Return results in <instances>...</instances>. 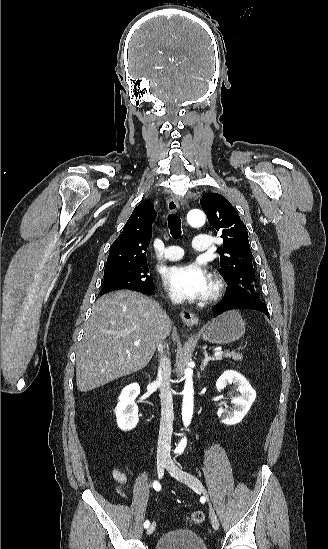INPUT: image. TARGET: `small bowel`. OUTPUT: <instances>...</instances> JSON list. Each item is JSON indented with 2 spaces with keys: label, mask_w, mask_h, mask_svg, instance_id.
<instances>
[{
  "label": "small bowel",
  "mask_w": 328,
  "mask_h": 549,
  "mask_svg": "<svg viewBox=\"0 0 328 549\" xmlns=\"http://www.w3.org/2000/svg\"><path fill=\"white\" fill-rule=\"evenodd\" d=\"M112 477H113L114 480L117 482V484H118L117 490H118V492H120L122 486L125 485L126 482H127V476H126V474L123 473L122 471H120V470L117 469V468H113V469H112Z\"/></svg>",
  "instance_id": "1"
}]
</instances>
